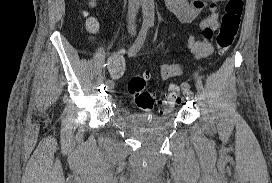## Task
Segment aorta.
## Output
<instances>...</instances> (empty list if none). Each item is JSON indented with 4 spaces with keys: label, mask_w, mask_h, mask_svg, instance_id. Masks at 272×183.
<instances>
[{
    "label": "aorta",
    "mask_w": 272,
    "mask_h": 183,
    "mask_svg": "<svg viewBox=\"0 0 272 183\" xmlns=\"http://www.w3.org/2000/svg\"><path fill=\"white\" fill-rule=\"evenodd\" d=\"M143 23L151 25L155 19L154 0H141Z\"/></svg>",
    "instance_id": "762f6f07"
}]
</instances>
